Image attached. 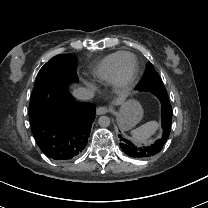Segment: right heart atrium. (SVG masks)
Wrapping results in <instances>:
<instances>
[{"mask_svg": "<svg viewBox=\"0 0 208 208\" xmlns=\"http://www.w3.org/2000/svg\"><path fill=\"white\" fill-rule=\"evenodd\" d=\"M87 84L93 92H97V88L92 82L88 81Z\"/></svg>", "mask_w": 208, "mask_h": 208, "instance_id": "1", "label": "right heart atrium"}]
</instances>
